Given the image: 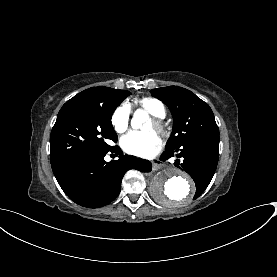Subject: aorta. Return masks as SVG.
<instances>
[{
	"instance_id": "obj_1",
	"label": "aorta",
	"mask_w": 277,
	"mask_h": 277,
	"mask_svg": "<svg viewBox=\"0 0 277 277\" xmlns=\"http://www.w3.org/2000/svg\"><path fill=\"white\" fill-rule=\"evenodd\" d=\"M148 120L144 110L138 109L131 120L133 128H140ZM152 196L163 205H185L195 192L192 179L183 171L167 167L158 172L150 183Z\"/></svg>"
}]
</instances>
